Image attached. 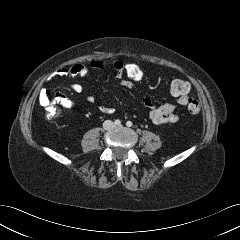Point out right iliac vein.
<instances>
[{"instance_id": "right-iliac-vein-1", "label": "right iliac vein", "mask_w": 240, "mask_h": 240, "mask_svg": "<svg viewBox=\"0 0 240 240\" xmlns=\"http://www.w3.org/2000/svg\"><path fill=\"white\" fill-rule=\"evenodd\" d=\"M112 126H113V125H112L111 122H107V123L105 124V128H106V129L111 128Z\"/></svg>"}]
</instances>
